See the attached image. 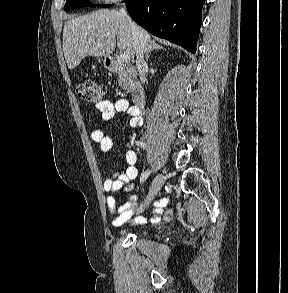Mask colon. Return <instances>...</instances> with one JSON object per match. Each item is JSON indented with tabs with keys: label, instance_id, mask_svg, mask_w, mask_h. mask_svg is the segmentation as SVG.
I'll return each instance as SVG.
<instances>
[{
	"label": "colon",
	"instance_id": "5ec220e1",
	"mask_svg": "<svg viewBox=\"0 0 288 293\" xmlns=\"http://www.w3.org/2000/svg\"><path fill=\"white\" fill-rule=\"evenodd\" d=\"M105 92L103 85L93 80H82L76 86V93L82 100L90 103H98L102 100ZM171 212H168V216Z\"/></svg>",
	"mask_w": 288,
	"mask_h": 293
}]
</instances>
